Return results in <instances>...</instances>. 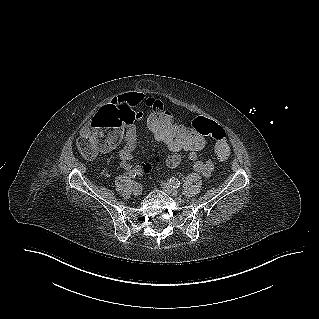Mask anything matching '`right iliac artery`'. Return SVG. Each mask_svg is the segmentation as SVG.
<instances>
[{
  "mask_svg": "<svg viewBox=\"0 0 319 319\" xmlns=\"http://www.w3.org/2000/svg\"><path fill=\"white\" fill-rule=\"evenodd\" d=\"M137 174H140L139 172H137L136 170H132L131 171V173H130V176L133 178H135V176L137 175Z\"/></svg>",
  "mask_w": 319,
  "mask_h": 319,
  "instance_id": "1",
  "label": "right iliac artery"
}]
</instances>
